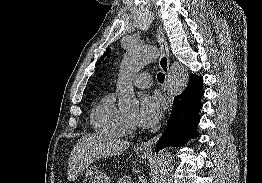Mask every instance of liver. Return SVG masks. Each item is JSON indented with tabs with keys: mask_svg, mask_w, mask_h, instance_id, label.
Segmentation results:
<instances>
[{
	"mask_svg": "<svg viewBox=\"0 0 262 183\" xmlns=\"http://www.w3.org/2000/svg\"><path fill=\"white\" fill-rule=\"evenodd\" d=\"M129 147V142L104 134L82 136L74 146L68 160V180L76 178L96 160L118 156Z\"/></svg>",
	"mask_w": 262,
	"mask_h": 183,
	"instance_id": "1",
	"label": "liver"
}]
</instances>
